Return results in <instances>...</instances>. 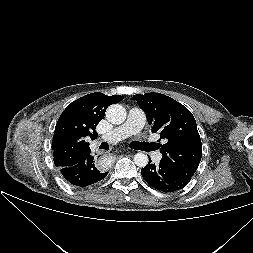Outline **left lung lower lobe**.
I'll use <instances>...</instances> for the list:
<instances>
[{"label": "left lung lower lobe", "mask_w": 253, "mask_h": 253, "mask_svg": "<svg viewBox=\"0 0 253 253\" xmlns=\"http://www.w3.org/2000/svg\"><path fill=\"white\" fill-rule=\"evenodd\" d=\"M149 163L141 169L144 180L157 190L173 192L184 188L188 180L175 174L167 165L160 162L159 165Z\"/></svg>", "instance_id": "obj_1"}]
</instances>
